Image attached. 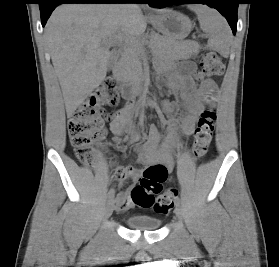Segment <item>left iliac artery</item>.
Instances as JSON below:
<instances>
[{
    "label": "left iliac artery",
    "mask_w": 279,
    "mask_h": 267,
    "mask_svg": "<svg viewBox=\"0 0 279 267\" xmlns=\"http://www.w3.org/2000/svg\"><path fill=\"white\" fill-rule=\"evenodd\" d=\"M175 204L180 205V199L178 197L175 199Z\"/></svg>",
    "instance_id": "1"
}]
</instances>
